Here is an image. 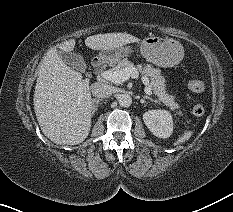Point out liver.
<instances>
[{"label":"liver","instance_id":"1","mask_svg":"<svg viewBox=\"0 0 233 212\" xmlns=\"http://www.w3.org/2000/svg\"><path fill=\"white\" fill-rule=\"evenodd\" d=\"M127 33H106L89 36L85 45L92 50H114L138 42ZM70 39L58 48L70 52L75 47ZM34 111L43 134L56 144L76 145L89 135L92 98L89 81L66 65L57 48L49 49L37 69Z\"/></svg>","mask_w":233,"mask_h":212}]
</instances>
